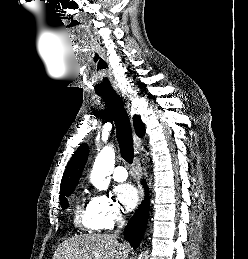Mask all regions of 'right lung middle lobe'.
<instances>
[{
	"label": "right lung middle lobe",
	"instance_id": "1",
	"mask_svg": "<svg viewBox=\"0 0 248 259\" xmlns=\"http://www.w3.org/2000/svg\"><path fill=\"white\" fill-rule=\"evenodd\" d=\"M73 190L74 189H70V190L63 191V192L60 193L61 194L60 195V202H61V207L63 209L68 207V202H67L66 197H68L73 192Z\"/></svg>",
	"mask_w": 248,
	"mask_h": 259
}]
</instances>
